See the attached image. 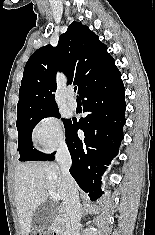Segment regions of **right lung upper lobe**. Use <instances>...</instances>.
Instances as JSON below:
<instances>
[{
  "label": "right lung upper lobe",
  "instance_id": "cb5924a9",
  "mask_svg": "<svg viewBox=\"0 0 155 235\" xmlns=\"http://www.w3.org/2000/svg\"><path fill=\"white\" fill-rule=\"evenodd\" d=\"M117 70L115 60L89 27L72 22L59 37L35 51L27 61L19 89L18 115L56 109V73L61 71L78 85V93L96 80ZM17 115V116H18Z\"/></svg>",
  "mask_w": 155,
  "mask_h": 235
}]
</instances>
